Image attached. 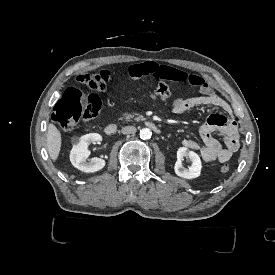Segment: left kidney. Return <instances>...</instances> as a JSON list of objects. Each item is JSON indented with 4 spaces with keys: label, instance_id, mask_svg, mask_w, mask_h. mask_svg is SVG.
I'll return each instance as SVG.
<instances>
[{
    "label": "left kidney",
    "instance_id": "obj_1",
    "mask_svg": "<svg viewBox=\"0 0 275 275\" xmlns=\"http://www.w3.org/2000/svg\"><path fill=\"white\" fill-rule=\"evenodd\" d=\"M176 156L177 161L174 165V172L177 176L186 180H192L198 178L201 175L202 162L197 153L189 150L187 147H180L176 152ZM183 156H188L192 161V165L189 167L188 171L181 165V159Z\"/></svg>",
    "mask_w": 275,
    "mask_h": 275
}]
</instances>
